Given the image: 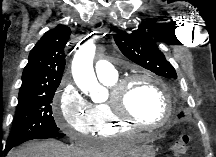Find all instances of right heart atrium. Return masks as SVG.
Segmentation results:
<instances>
[{"label":"right heart atrium","mask_w":216,"mask_h":157,"mask_svg":"<svg viewBox=\"0 0 216 157\" xmlns=\"http://www.w3.org/2000/svg\"><path fill=\"white\" fill-rule=\"evenodd\" d=\"M54 118L68 136L78 137L95 132L93 105L69 81L62 83L56 95Z\"/></svg>","instance_id":"d8ad5b80"}]
</instances>
